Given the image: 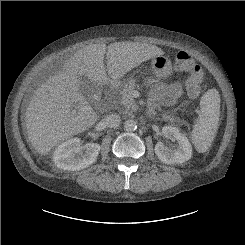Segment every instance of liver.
Listing matches in <instances>:
<instances>
[{"instance_id":"1","label":"liver","mask_w":245,"mask_h":245,"mask_svg":"<svg viewBox=\"0 0 245 245\" xmlns=\"http://www.w3.org/2000/svg\"><path fill=\"white\" fill-rule=\"evenodd\" d=\"M106 53L107 69L104 65ZM161 48L139 42L91 44L79 49L36 91L25 112L28 140L41 155L59 143L94 126L97 113L81 92V77L101 86L109 77L117 81L158 55ZM108 73V75H107Z\"/></svg>"}]
</instances>
